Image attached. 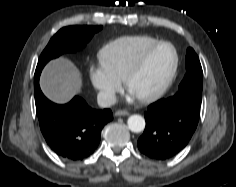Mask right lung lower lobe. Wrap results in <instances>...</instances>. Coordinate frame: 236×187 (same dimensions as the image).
<instances>
[{
    "label": "right lung lower lobe",
    "mask_w": 236,
    "mask_h": 187,
    "mask_svg": "<svg viewBox=\"0 0 236 187\" xmlns=\"http://www.w3.org/2000/svg\"><path fill=\"white\" fill-rule=\"evenodd\" d=\"M34 93L40 129L51 149L70 161L89 157L102 128L113 119L111 110L92 109L78 96L65 105L54 104L43 95L39 78H34Z\"/></svg>",
    "instance_id": "obj_1"
}]
</instances>
